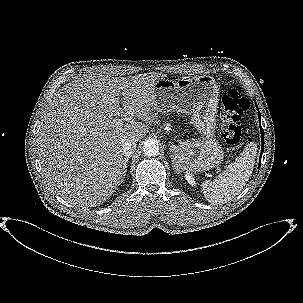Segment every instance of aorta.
<instances>
[{
    "mask_svg": "<svg viewBox=\"0 0 303 303\" xmlns=\"http://www.w3.org/2000/svg\"><path fill=\"white\" fill-rule=\"evenodd\" d=\"M159 150V144L155 140H147L143 145V152L148 157L157 156Z\"/></svg>",
    "mask_w": 303,
    "mask_h": 303,
    "instance_id": "1",
    "label": "aorta"
}]
</instances>
